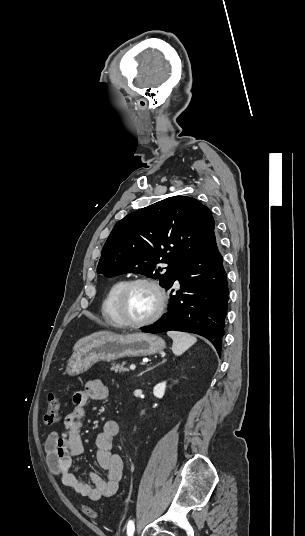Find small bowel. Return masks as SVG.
Returning a JSON list of instances; mask_svg holds the SVG:
<instances>
[{"mask_svg":"<svg viewBox=\"0 0 305 536\" xmlns=\"http://www.w3.org/2000/svg\"><path fill=\"white\" fill-rule=\"evenodd\" d=\"M109 397L107 385L97 379L88 381L82 390L74 393L72 406L64 416L63 430L51 432L44 444L46 463L53 475L60 477L64 486L91 501L114 496L122 479L123 459L114 452V438L119 430L117 422L106 421L96 437L97 463L106 472L105 478L90 473V483H82L69 472V468L72 458L83 453L80 430L86 404L91 400H107Z\"/></svg>","mask_w":305,"mask_h":536,"instance_id":"obj_1","label":"small bowel"}]
</instances>
